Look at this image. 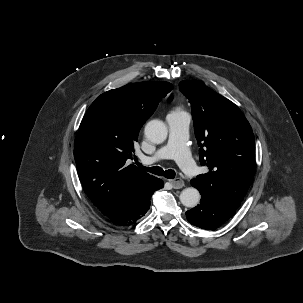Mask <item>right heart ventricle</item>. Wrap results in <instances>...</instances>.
<instances>
[{
  "instance_id": "right-heart-ventricle-1",
  "label": "right heart ventricle",
  "mask_w": 303,
  "mask_h": 303,
  "mask_svg": "<svg viewBox=\"0 0 303 303\" xmlns=\"http://www.w3.org/2000/svg\"><path fill=\"white\" fill-rule=\"evenodd\" d=\"M171 113H182V111L180 109H175L174 111H172Z\"/></svg>"
}]
</instances>
